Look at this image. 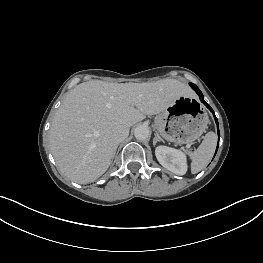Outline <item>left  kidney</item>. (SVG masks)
Wrapping results in <instances>:
<instances>
[{
  "mask_svg": "<svg viewBox=\"0 0 263 263\" xmlns=\"http://www.w3.org/2000/svg\"><path fill=\"white\" fill-rule=\"evenodd\" d=\"M155 155L158 162L169 171L177 175H184L187 172V158L182 151L168 146H158Z\"/></svg>",
  "mask_w": 263,
  "mask_h": 263,
  "instance_id": "1",
  "label": "left kidney"
}]
</instances>
